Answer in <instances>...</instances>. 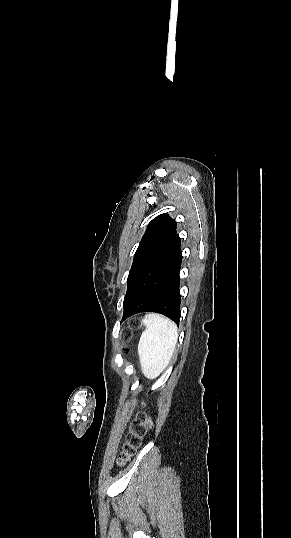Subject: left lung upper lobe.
<instances>
[{"label": "left lung upper lobe", "instance_id": "obj_1", "mask_svg": "<svg viewBox=\"0 0 291 538\" xmlns=\"http://www.w3.org/2000/svg\"><path fill=\"white\" fill-rule=\"evenodd\" d=\"M176 221L168 214H160L147 226L141 242L135 252L133 264L127 278V292L123 304L127 301L140 276L179 236Z\"/></svg>", "mask_w": 291, "mask_h": 538}]
</instances>
